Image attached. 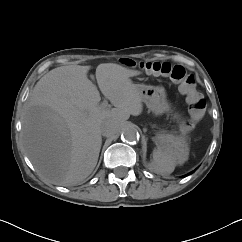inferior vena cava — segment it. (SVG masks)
Returning a JSON list of instances; mask_svg holds the SVG:
<instances>
[{
    "mask_svg": "<svg viewBox=\"0 0 242 242\" xmlns=\"http://www.w3.org/2000/svg\"><path fill=\"white\" fill-rule=\"evenodd\" d=\"M101 127L104 133L110 135L116 132L118 125L115 119L109 117L103 120Z\"/></svg>",
    "mask_w": 242,
    "mask_h": 242,
    "instance_id": "inferior-vena-cava-1",
    "label": "inferior vena cava"
}]
</instances>
